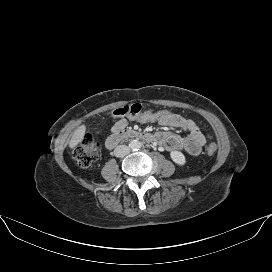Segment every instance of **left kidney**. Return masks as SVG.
<instances>
[{
    "instance_id": "obj_1",
    "label": "left kidney",
    "mask_w": 272,
    "mask_h": 272,
    "mask_svg": "<svg viewBox=\"0 0 272 272\" xmlns=\"http://www.w3.org/2000/svg\"><path fill=\"white\" fill-rule=\"evenodd\" d=\"M170 157L173 160V162L178 165H184L186 163L184 154L179 151H172L170 153Z\"/></svg>"
}]
</instances>
